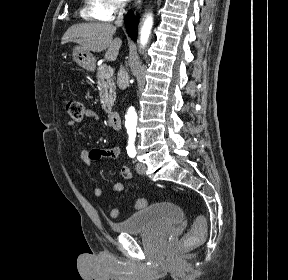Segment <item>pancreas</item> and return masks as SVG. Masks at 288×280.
Wrapping results in <instances>:
<instances>
[{
    "label": "pancreas",
    "mask_w": 288,
    "mask_h": 280,
    "mask_svg": "<svg viewBox=\"0 0 288 280\" xmlns=\"http://www.w3.org/2000/svg\"><path fill=\"white\" fill-rule=\"evenodd\" d=\"M107 68L108 66L105 64L99 66L96 77L102 107L106 113H110L115 102L116 93L115 83L112 75L107 74Z\"/></svg>",
    "instance_id": "cf45deb5"
}]
</instances>
